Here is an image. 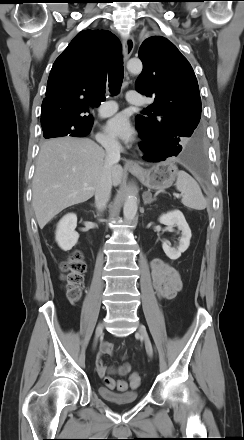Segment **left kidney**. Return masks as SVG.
<instances>
[{"instance_id": "1", "label": "left kidney", "mask_w": 244, "mask_h": 440, "mask_svg": "<svg viewBox=\"0 0 244 440\" xmlns=\"http://www.w3.org/2000/svg\"><path fill=\"white\" fill-rule=\"evenodd\" d=\"M159 222L168 227H177L181 230V238L179 240V245L175 247H170L168 241H164L162 248L165 254L172 260L178 259L183 252H185L189 245L191 239V230L185 220L183 213L179 210H174L163 214L159 218Z\"/></svg>"}]
</instances>
